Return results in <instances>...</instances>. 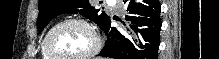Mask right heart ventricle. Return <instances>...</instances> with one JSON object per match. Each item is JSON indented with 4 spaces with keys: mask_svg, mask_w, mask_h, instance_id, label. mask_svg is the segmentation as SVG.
Wrapping results in <instances>:
<instances>
[{
    "mask_svg": "<svg viewBox=\"0 0 219 59\" xmlns=\"http://www.w3.org/2000/svg\"><path fill=\"white\" fill-rule=\"evenodd\" d=\"M40 51H41V57L42 59H53L51 58L47 52L45 51V48H44V38L41 40L40 42Z\"/></svg>",
    "mask_w": 219,
    "mask_h": 59,
    "instance_id": "1",
    "label": "right heart ventricle"
}]
</instances>
